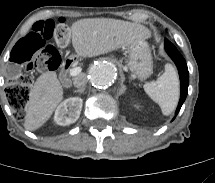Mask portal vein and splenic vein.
<instances>
[{
  "label": "portal vein and splenic vein",
  "mask_w": 215,
  "mask_h": 183,
  "mask_svg": "<svg viewBox=\"0 0 215 183\" xmlns=\"http://www.w3.org/2000/svg\"><path fill=\"white\" fill-rule=\"evenodd\" d=\"M81 70H82L81 67H75L70 70L69 74H70V76L74 77V76L79 75L81 73Z\"/></svg>",
  "instance_id": "portal-vein-and-splenic-vein-1"
}]
</instances>
